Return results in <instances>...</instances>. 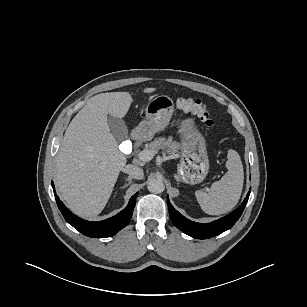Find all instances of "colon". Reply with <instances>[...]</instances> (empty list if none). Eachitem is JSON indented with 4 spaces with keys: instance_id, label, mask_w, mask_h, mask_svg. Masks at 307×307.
<instances>
[{
    "instance_id": "1",
    "label": "colon",
    "mask_w": 307,
    "mask_h": 307,
    "mask_svg": "<svg viewBox=\"0 0 307 307\" xmlns=\"http://www.w3.org/2000/svg\"><path fill=\"white\" fill-rule=\"evenodd\" d=\"M176 106L180 110L198 117L207 127L214 124L211 109L199 99L179 97L176 99Z\"/></svg>"
}]
</instances>
